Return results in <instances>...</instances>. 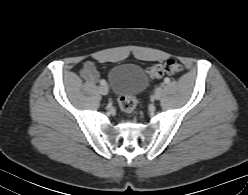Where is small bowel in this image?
<instances>
[{
	"instance_id": "c3829d8e",
	"label": "small bowel",
	"mask_w": 248,
	"mask_h": 195,
	"mask_svg": "<svg viewBox=\"0 0 248 195\" xmlns=\"http://www.w3.org/2000/svg\"><path fill=\"white\" fill-rule=\"evenodd\" d=\"M82 77L89 83H94L100 78V70L91 61L87 62L81 70Z\"/></svg>"
}]
</instances>
